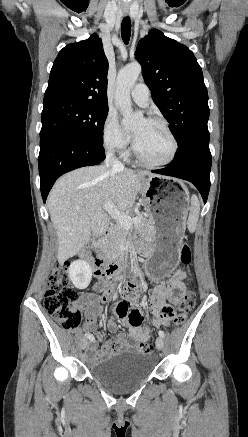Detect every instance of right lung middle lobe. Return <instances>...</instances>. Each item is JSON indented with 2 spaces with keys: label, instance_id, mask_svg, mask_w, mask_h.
<instances>
[{
  "label": "right lung middle lobe",
  "instance_id": "1",
  "mask_svg": "<svg viewBox=\"0 0 248 437\" xmlns=\"http://www.w3.org/2000/svg\"><path fill=\"white\" fill-rule=\"evenodd\" d=\"M108 107L69 98L44 100L40 137L52 132L73 134L103 145V127Z\"/></svg>",
  "mask_w": 248,
  "mask_h": 437
}]
</instances>
